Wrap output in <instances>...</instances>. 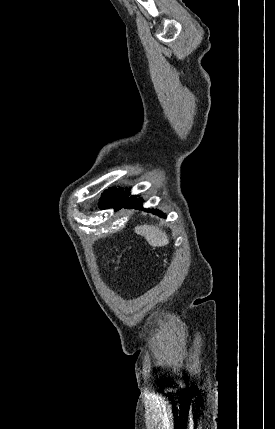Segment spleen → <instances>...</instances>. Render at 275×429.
Instances as JSON below:
<instances>
[{"instance_id":"obj_1","label":"spleen","mask_w":275,"mask_h":429,"mask_svg":"<svg viewBox=\"0 0 275 429\" xmlns=\"http://www.w3.org/2000/svg\"><path fill=\"white\" fill-rule=\"evenodd\" d=\"M134 231L136 234L143 236L151 246L161 247L169 243L166 232L156 226L144 224L136 226Z\"/></svg>"}]
</instances>
